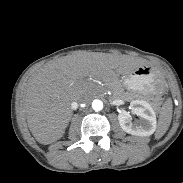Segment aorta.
Instances as JSON below:
<instances>
[{
	"label": "aorta",
	"instance_id": "1",
	"mask_svg": "<svg viewBox=\"0 0 183 183\" xmlns=\"http://www.w3.org/2000/svg\"><path fill=\"white\" fill-rule=\"evenodd\" d=\"M92 108L95 110V111H100L103 109V102L99 99H95L93 100L92 102Z\"/></svg>",
	"mask_w": 183,
	"mask_h": 183
}]
</instances>
